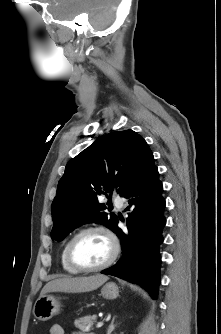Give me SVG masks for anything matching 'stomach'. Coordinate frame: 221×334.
Returning a JSON list of instances; mask_svg holds the SVG:
<instances>
[{"label": "stomach", "mask_w": 221, "mask_h": 334, "mask_svg": "<svg viewBox=\"0 0 221 334\" xmlns=\"http://www.w3.org/2000/svg\"><path fill=\"white\" fill-rule=\"evenodd\" d=\"M101 294L105 299L113 300L119 295V288L113 282L106 283L102 289ZM60 302L53 295H44L39 297L34 304L33 314L36 319L40 321H47L60 311Z\"/></svg>", "instance_id": "stomach-1"}]
</instances>
